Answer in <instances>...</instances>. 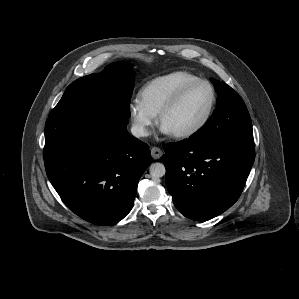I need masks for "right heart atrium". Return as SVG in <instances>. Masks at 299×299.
I'll use <instances>...</instances> for the list:
<instances>
[{
  "label": "right heart atrium",
  "instance_id": "right-heart-atrium-1",
  "mask_svg": "<svg viewBox=\"0 0 299 299\" xmlns=\"http://www.w3.org/2000/svg\"><path fill=\"white\" fill-rule=\"evenodd\" d=\"M129 112L135 134L139 137L148 136L157 121V115L147 109L140 100L130 104Z\"/></svg>",
  "mask_w": 299,
  "mask_h": 299
}]
</instances>
